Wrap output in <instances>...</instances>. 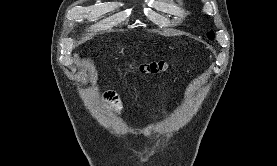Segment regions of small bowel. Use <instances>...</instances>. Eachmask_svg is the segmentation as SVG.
<instances>
[{
  "label": "small bowel",
  "instance_id": "obj_1",
  "mask_svg": "<svg viewBox=\"0 0 277 166\" xmlns=\"http://www.w3.org/2000/svg\"><path fill=\"white\" fill-rule=\"evenodd\" d=\"M105 98L108 100L114 111L120 112L121 110V103L118 97L113 92H108L105 94Z\"/></svg>",
  "mask_w": 277,
  "mask_h": 166
}]
</instances>
